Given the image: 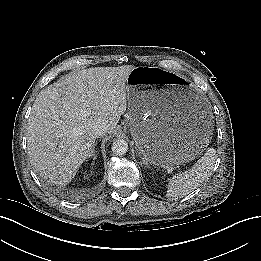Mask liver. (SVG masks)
I'll return each instance as SVG.
<instances>
[{
    "label": "liver",
    "instance_id": "1",
    "mask_svg": "<svg viewBox=\"0 0 261 261\" xmlns=\"http://www.w3.org/2000/svg\"><path fill=\"white\" fill-rule=\"evenodd\" d=\"M133 65L71 72L37 96L28 119L31 162L48 182L66 186L91 157L96 123L113 133L127 108L126 82Z\"/></svg>",
    "mask_w": 261,
    "mask_h": 261
}]
</instances>
